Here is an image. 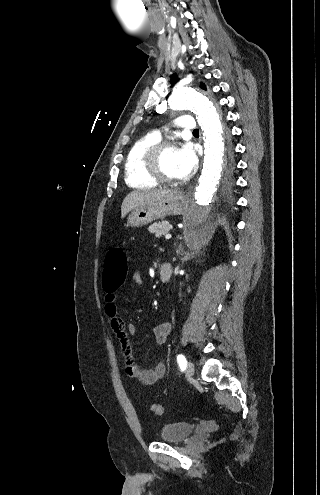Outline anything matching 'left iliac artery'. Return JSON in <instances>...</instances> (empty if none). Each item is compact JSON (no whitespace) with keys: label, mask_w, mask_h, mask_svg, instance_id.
Segmentation results:
<instances>
[{"label":"left iliac artery","mask_w":320,"mask_h":495,"mask_svg":"<svg viewBox=\"0 0 320 495\" xmlns=\"http://www.w3.org/2000/svg\"><path fill=\"white\" fill-rule=\"evenodd\" d=\"M177 362L179 364L180 369L182 371H184L186 368V365H187V360H186L185 356L182 354H178L177 355Z\"/></svg>","instance_id":"44dca946"}]
</instances>
